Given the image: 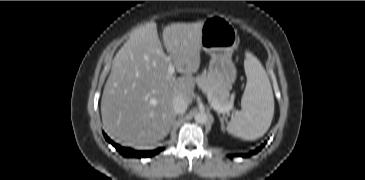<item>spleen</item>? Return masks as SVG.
<instances>
[{
  "instance_id": "1",
  "label": "spleen",
  "mask_w": 365,
  "mask_h": 180,
  "mask_svg": "<svg viewBox=\"0 0 365 180\" xmlns=\"http://www.w3.org/2000/svg\"><path fill=\"white\" fill-rule=\"evenodd\" d=\"M244 68L247 76L241 99V110L227 124V132L244 140L262 137L274 115V97L267 73L261 62L246 53Z\"/></svg>"
}]
</instances>
